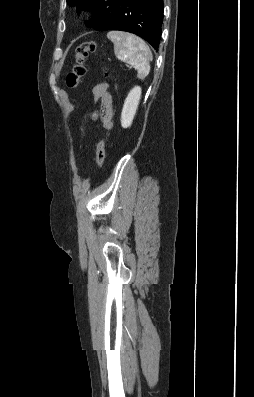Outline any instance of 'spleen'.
Segmentation results:
<instances>
[{
    "label": "spleen",
    "instance_id": "3e777b00",
    "mask_svg": "<svg viewBox=\"0 0 254 397\" xmlns=\"http://www.w3.org/2000/svg\"><path fill=\"white\" fill-rule=\"evenodd\" d=\"M107 38L114 44L115 56L133 65L139 79H144L149 74L153 56L148 45L140 37L127 32L110 31Z\"/></svg>",
    "mask_w": 254,
    "mask_h": 397
}]
</instances>
